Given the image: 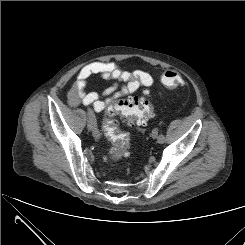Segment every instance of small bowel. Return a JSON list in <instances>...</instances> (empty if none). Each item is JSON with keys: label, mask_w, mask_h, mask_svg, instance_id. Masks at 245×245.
I'll return each mask as SVG.
<instances>
[{"label": "small bowel", "mask_w": 245, "mask_h": 245, "mask_svg": "<svg viewBox=\"0 0 245 245\" xmlns=\"http://www.w3.org/2000/svg\"><path fill=\"white\" fill-rule=\"evenodd\" d=\"M93 76L106 80H118L123 85L121 87L110 86L102 94L94 91L87 92V83ZM153 84L154 78L147 71H125L112 61L93 62L79 71L75 82L68 92V103L73 107L90 105L95 111L101 112L120 98L133 94L142 87H151Z\"/></svg>", "instance_id": "c3829d8e"}]
</instances>
